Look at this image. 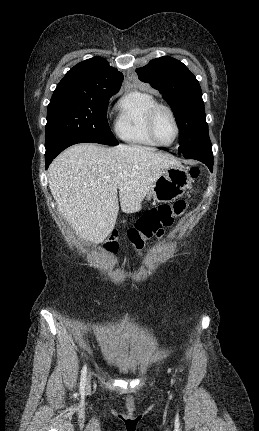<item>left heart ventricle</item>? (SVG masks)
<instances>
[{
  "mask_svg": "<svg viewBox=\"0 0 259 431\" xmlns=\"http://www.w3.org/2000/svg\"><path fill=\"white\" fill-rule=\"evenodd\" d=\"M155 133L163 143H169L175 135L174 123L165 110H160L155 118Z\"/></svg>",
  "mask_w": 259,
  "mask_h": 431,
  "instance_id": "b2bd125f",
  "label": "left heart ventricle"
}]
</instances>
